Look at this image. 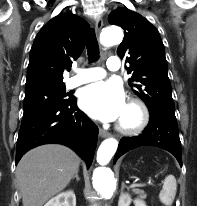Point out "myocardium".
<instances>
[{
	"instance_id": "myocardium-1",
	"label": "myocardium",
	"mask_w": 197,
	"mask_h": 206,
	"mask_svg": "<svg viewBox=\"0 0 197 206\" xmlns=\"http://www.w3.org/2000/svg\"><path fill=\"white\" fill-rule=\"evenodd\" d=\"M135 113V120L131 123L120 120L117 124V130L126 135H135L142 132L148 125L150 113L145 102L139 98H130L127 104Z\"/></svg>"
}]
</instances>
